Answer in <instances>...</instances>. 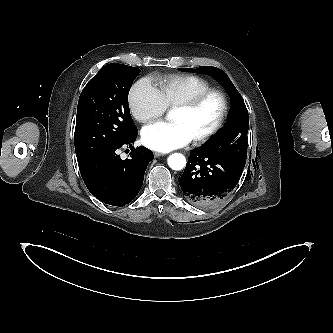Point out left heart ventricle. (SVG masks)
Masks as SVG:
<instances>
[{
  "instance_id": "obj_1",
  "label": "left heart ventricle",
  "mask_w": 333,
  "mask_h": 333,
  "mask_svg": "<svg viewBox=\"0 0 333 333\" xmlns=\"http://www.w3.org/2000/svg\"><path fill=\"white\" fill-rule=\"evenodd\" d=\"M222 102L219 97L211 96L193 111L174 110L172 121L184 125L192 139L209 131L219 119Z\"/></svg>"
}]
</instances>
